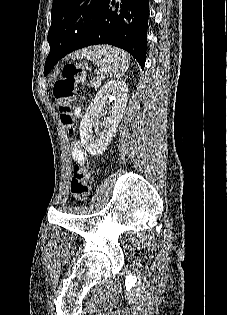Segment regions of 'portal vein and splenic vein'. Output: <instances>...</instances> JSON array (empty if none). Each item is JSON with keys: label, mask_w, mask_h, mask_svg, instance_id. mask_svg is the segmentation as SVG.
<instances>
[{"label": "portal vein and splenic vein", "mask_w": 227, "mask_h": 315, "mask_svg": "<svg viewBox=\"0 0 227 315\" xmlns=\"http://www.w3.org/2000/svg\"><path fill=\"white\" fill-rule=\"evenodd\" d=\"M100 84V79L99 77H97V79H95L93 82H92V85H99Z\"/></svg>", "instance_id": "18ae733b"}]
</instances>
